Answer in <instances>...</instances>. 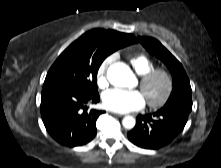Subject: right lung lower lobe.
Here are the masks:
<instances>
[{
    "label": "right lung lower lobe",
    "instance_id": "obj_1",
    "mask_svg": "<svg viewBox=\"0 0 221 168\" xmlns=\"http://www.w3.org/2000/svg\"><path fill=\"white\" fill-rule=\"evenodd\" d=\"M98 93H85L62 85H44L41 115L46 130L58 143L74 147L91 141L96 120L104 111L90 110L87 104L99 102Z\"/></svg>",
    "mask_w": 221,
    "mask_h": 168
}]
</instances>
